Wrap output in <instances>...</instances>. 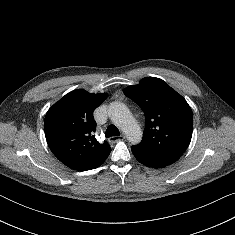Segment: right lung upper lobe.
<instances>
[{
    "label": "right lung upper lobe",
    "mask_w": 235,
    "mask_h": 235,
    "mask_svg": "<svg viewBox=\"0 0 235 235\" xmlns=\"http://www.w3.org/2000/svg\"><path fill=\"white\" fill-rule=\"evenodd\" d=\"M107 95L74 90L55 103L45 116V137L53 154L71 169L99 167L109 156L110 146L95 138L93 111Z\"/></svg>",
    "instance_id": "right-lung-upper-lobe-1"
}]
</instances>
